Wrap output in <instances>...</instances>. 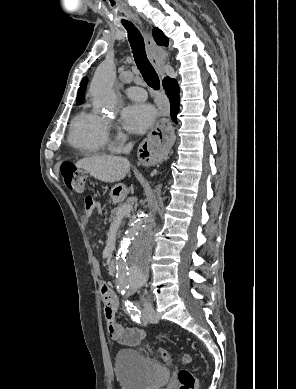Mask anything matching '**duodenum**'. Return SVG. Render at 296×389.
I'll return each instance as SVG.
<instances>
[{
	"label": "duodenum",
	"mask_w": 296,
	"mask_h": 389,
	"mask_svg": "<svg viewBox=\"0 0 296 389\" xmlns=\"http://www.w3.org/2000/svg\"><path fill=\"white\" fill-rule=\"evenodd\" d=\"M108 269H109L111 274L114 275L116 273V260L115 259H111L109 261Z\"/></svg>",
	"instance_id": "duodenum-1"
}]
</instances>
